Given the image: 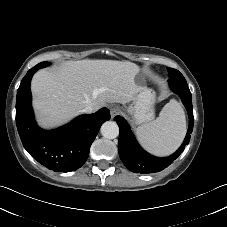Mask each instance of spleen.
Returning a JSON list of instances; mask_svg holds the SVG:
<instances>
[{"label":"spleen","instance_id":"3e777b00","mask_svg":"<svg viewBox=\"0 0 227 227\" xmlns=\"http://www.w3.org/2000/svg\"><path fill=\"white\" fill-rule=\"evenodd\" d=\"M142 146L157 156L173 153L186 134V119L182 106L172 99L161 110L159 117L136 129Z\"/></svg>","mask_w":227,"mask_h":227}]
</instances>
